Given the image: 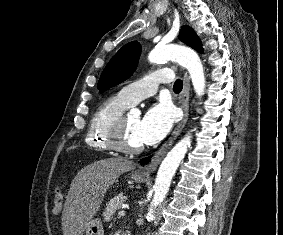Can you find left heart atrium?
Returning <instances> with one entry per match:
<instances>
[{"label":"left heart atrium","mask_w":283,"mask_h":235,"mask_svg":"<svg viewBox=\"0 0 283 235\" xmlns=\"http://www.w3.org/2000/svg\"><path fill=\"white\" fill-rule=\"evenodd\" d=\"M173 108L166 102L153 105L140 120L137 134L142 144H155L162 140L174 123Z\"/></svg>","instance_id":"left-heart-atrium-1"}]
</instances>
